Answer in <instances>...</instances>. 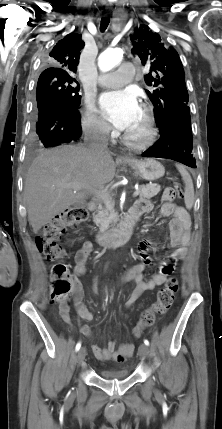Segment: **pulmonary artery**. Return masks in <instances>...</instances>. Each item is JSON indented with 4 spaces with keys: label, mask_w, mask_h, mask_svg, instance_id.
Masks as SVG:
<instances>
[{
    "label": "pulmonary artery",
    "mask_w": 222,
    "mask_h": 429,
    "mask_svg": "<svg viewBox=\"0 0 222 429\" xmlns=\"http://www.w3.org/2000/svg\"><path fill=\"white\" fill-rule=\"evenodd\" d=\"M136 72V67L131 62H123L119 69L114 72L102 74L98 78L101 86L116 88L131 81Z\"/></svg>",
    "instance_id": "obj_1"
}]
</instances>
